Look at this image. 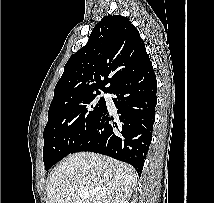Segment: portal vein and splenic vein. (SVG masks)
Segmentation results:
<instances>
[{"label": "portal vein and splenic vein", "mask_w": 214, "mask_h": 203, "mask_svg": "<svg viewBox=\"0 0 214 203\" xmlns=\"http://www.w3.org/2000/svg\"><path fill=\"white\" fill-rule=\"evenodd\" d=\"M89 191L84 189V188H80L77 191V194L82 198V199H86L89 197Z\"/></svg>", "instance_id": "1"}]
</instances>
